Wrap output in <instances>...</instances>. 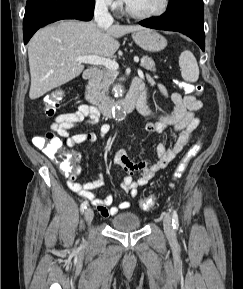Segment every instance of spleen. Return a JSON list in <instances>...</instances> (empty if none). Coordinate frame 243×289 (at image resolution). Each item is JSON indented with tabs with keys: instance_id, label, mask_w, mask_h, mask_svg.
Listing matches in <instances>:
<instances>
[{
	"instance_id": "obj_1",
	"label": "spleen",
	"mask_w": 243,
	"mask_h": 289,
	"mask_svg": "<svg viewBox=\"0 0 243 289\" xmlns=\"http://www.w3.org/2000/svg\"><path fill=\"white\" fill-rule=\"evenodd\" d=\"M182 78L187 82H196L199 78V67L193 53L184 50L179 57Z\"/></svg>"
}]
</instances>
